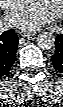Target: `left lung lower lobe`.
I'll list each match as a JSON object with an SVG mask.
<instances>
[{"label":"left lung lower lobe","mask_w":63,"mask_h":107,"mask_svg":"<svg viewBox=\"0 0 63 107\" xmlns=\"http://www.w3.org/2000/svg\"><path fill=\"white\" fill-rule=\"evenodd\" d=\"M55 47L56 51L52 56V64L56 70L63 73V34L58 35Z\"/></svg>","instance_id":"0a47b994"}]
</instances>
